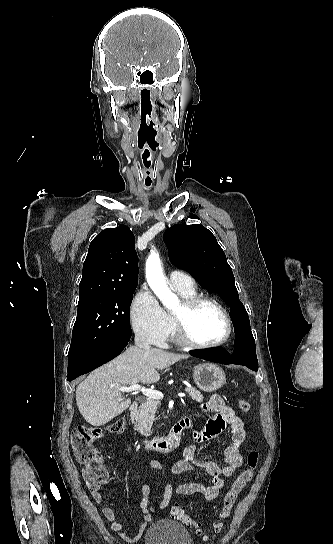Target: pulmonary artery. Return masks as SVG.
<instances>
[{"instance_id":"e3ab8cb5","label":"pulmonary artery","mask_w":333,"mask_h":544,"mask_svg":"<svg viewBox=\"0 0 333 544\" xmlns=\"http://www.w3.org/2000/svg\"><path fill=\"white\" fill-rule=\"evenodd\" d=\"M169 281L174 289L190 290L195 288L193 278L185 272L173 270L169 274Z\"/></svg>"}]
</instances>
